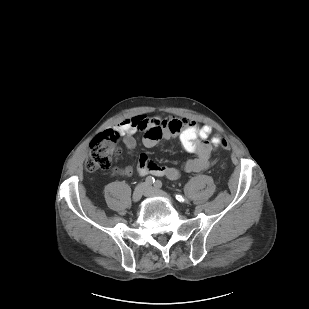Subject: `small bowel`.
Returning <instances> with one entry per match:
<instances>
[{"mask_svg": "<svg viewBox=\"0 0 309 309\" xmlns=\"http://www.w3.org/2000/svg\"><path fill=\"white\" fill-rule=\"evenodd\" d=\"M143 132V144L152 148L162 139L178 138L185 151L195 154V157L185 161V172H200L206 170L212 164V152L219 147L220 134L209 125H202L193 120L177 117L159 118L148 117L139 114L120 122L114 128L106 130L107 135L121 136L122 142L129 152L136 146L135 133ZM139 175H153L166 177L170 180L177 179L181 170L174 166L159 165L150 160L146 155H141L137 164ZM121 176H130L132 167H124L116 170Z\"/></svg>", "mask_w": 309, "mask_h": 309, "instance_id": "c3829d8e", "label": "small bowel"}]
</instances>
